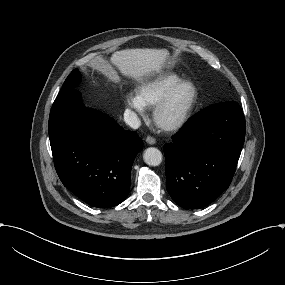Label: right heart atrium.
I'll return each mask as SVG.
<instances>
[{
	"mask_svg": "<svg viewBox=\"0 0 285 285\" xmlns=\"http://www.w3.org/2000/svg\"><path fill=\"white\" fill-rule=\"evenodd\" d=\"M124 102L127 107L134 110V112L139 118H145L147 116V108L145 104L140 100L137 93H127Z\"/></svg>",
	"mask_w": 285,
	"mask_h": 285,
	"instance_id": "right-heart-atrium-1",
	"label": "right heart atrium"
}]
</instances>
